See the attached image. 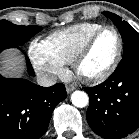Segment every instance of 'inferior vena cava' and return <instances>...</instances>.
Returning <instances> with one entry per match:
<instances>
[{
  "mask_svg": "<svg viewBox=\"0 0 139 139\" xmlns=\"http://www.w3.org/2000/svg\"><path fill=\"white\" fill-rule=\"evenodd\" d=\"M37 82L40 86L49 87V86L56 84L57 77L49 73H38Z\"/></svg>",
  "mask_w": 139,
  "mask_h": 139,
  "instance_id": "602c4592",
  "label": "inferior vena cava"
}]
</instances>
